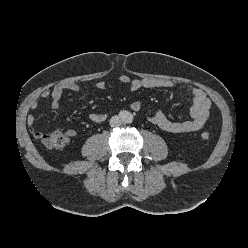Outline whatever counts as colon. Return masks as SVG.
<instances>
[{
    "label": "colon",
    "instance_id": "5ec220e1",
    "mask_svg": "<svg viewBox=\"0 0 248 248\" xmlns=\"http://www.w3.org/2000/svg\"><path fill=\"white\" fill-rule=\"evenodd\" d=\"M201 138L203 140H208L209 133L202 132ZM40 140L46 147L50 149H59L66 145V143L68 142V137L59 131H53V132L46 133V134L42 133Z\"/></svg>",
    "mask_w": 248,
    "mask_h": 248
}]
</instances>
